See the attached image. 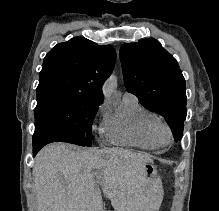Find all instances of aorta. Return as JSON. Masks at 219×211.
I'll list each match as a JSON object with an SVG mask.
<instances>
[{"mask_svg":"<svg viewBox=\"0 0 219 211\" xmlns=\"http://www.w3.org/2000/svg\"><path fill=\"white\" fill-rule=\"evenodd\" d=\"M117 87V76L112 74L103 86V92L106 96H110Z\"/></svg>","mask_w":219,"mask_h":211,"instance_id":"1","label":"aorta"}]
</instances>
